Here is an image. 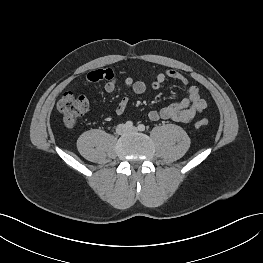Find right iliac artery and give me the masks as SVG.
<instances>
[{"mask_svg":"<svg viewBox=\"0 0 263 263\" xmlns=\"http://www.w3.org/2000/svg\"><path fill=\"white\" fill-rule=\"evenodd\" d=\"M125 125H126L127 128H132L133 127V122L132 121H127Z\"/></svg>","mask_w":263,"mask_h":263,"instance_id":"right-iliac-artery-1","label":"right iliac artery"}]
</instances>
